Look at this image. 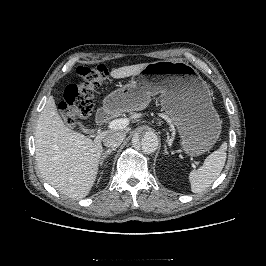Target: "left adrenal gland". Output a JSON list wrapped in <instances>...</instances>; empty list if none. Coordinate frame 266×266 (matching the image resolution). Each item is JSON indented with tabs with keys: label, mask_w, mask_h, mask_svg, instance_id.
<instances>
[{
	"label": "left adrenal gland",
	"mask_w": 266,
	"mask_h": 266,
	"mask_svg": "<svg viewBox=\"0 0 266 266\" xmlns=\"http://www.w3.org/2000/svg\"><path fill=\"white\" fill-rule=\"evenodd\" d=\"M164 154H169L168 151H167V146H166V144L164 145Z\"/></svg>",
	"instance_id": "a2214340"
}]
</instances>
